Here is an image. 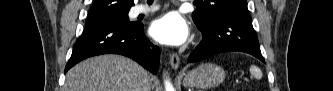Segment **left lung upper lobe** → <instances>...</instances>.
<instances>
[{
    "instance_id": "left-lung-upper-lobe-1",
    "label": "left lung upper lobe",
    "mask_w": 333,
    "mask_h": 91,
    "mask_svg": "<svg viewBox=\"0 0 333 91\" xmlns=\"http://www.w3.org/2000/svg\"><path fill=\"white\" fill-rule=\"evenodd\" d=\"M199 8L192 18L199 29L206 27L217 16L225 12L248 10L247 0H197Z\"/></svg>"
}]
</instances>
